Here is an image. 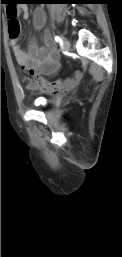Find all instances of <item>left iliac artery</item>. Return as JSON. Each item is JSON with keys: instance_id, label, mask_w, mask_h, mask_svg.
<instances>
[{"instance_id": "1", "label": "left iliac artery", "mask_w": 122, "mask_h": 257, "mask_svg": "<svg viewBox=\"0 0 122 257\" xmlns=\"http://www.w3.org/2000/svg\"><path fill=\"white\" fill-rule=\"evenodd\" d=\"M55 41L56 42H60V43H62V39H61V37L60 36H55Z\"/></svg>"}]
</instances>
